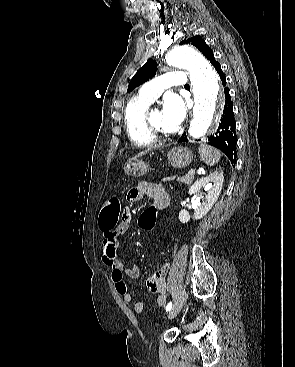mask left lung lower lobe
Segmentation results:
<instances>
[{"label":"left lung lower lobe","mask_w":295,"mask_h":367,"mask_svg":"<svg viewBox=\"0 0 295 367\" xmlns=\"http://www.w3.org/2000/svg\"><path fill=\"white\" fill-rule=\"evenodd\" d=\"M212 65L215 67L217 73L219 74L223 85H226V77L221 70L220 64L212 59L210 61ZM225 105L224 111L221 118V123L217 131L208 136V144L220 149L222 152L226 154V156L230 159L232 165L236 163L237 151H236V143L237 136L235 133V119L233 115V104L231 101V97L229 95V88H225ZM187 141V136L184 133L182 137L179 139V142Z\"/></svg>","instance_id":"left-lung-lower-lobe-1"}]
</instances>
